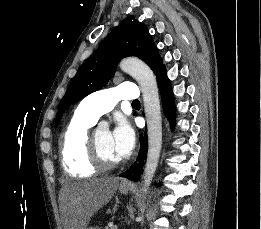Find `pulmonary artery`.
Wrapping results in <instances>:
<instances>
[{"mask_svg":"<svg viewBox=\"0 0 261 229\" xmlns=\"http://www.w3.org/2000/svg\"><path fill=\"white\" fill-rule=\"evenodd\" d=\"M135 84H122L92 93L85 97L79 106L85 115L95 122L104 114L110 112L119 100L134 99L138 96Z\"/></svg>","mask_w":261,"mask_h":229,"instance_id":"1","label":"pulmonary artery"}]
</instances>
